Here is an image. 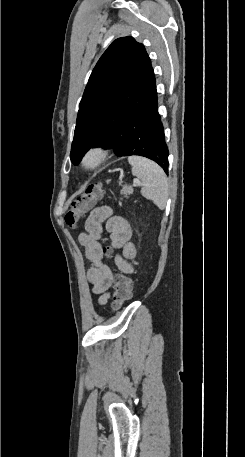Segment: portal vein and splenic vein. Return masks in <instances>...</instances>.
I'll return each mask as SVG.
<instances>
[{
	"mask_svg": "<svg viewBox=\"0 0 245 457\" xmlns=\"http://www.w3.org/2000/svg\"><path fill=\"white\" fill-rule=\"evenodd\" d=\"M133 182L134 184H141L140 180H138V178H133Z\"/></svg>",
	"mask_w": 245,
	"mask_h": 457,
	"instance_id": "obj_1",
	"label": "portal vein and splenic vein"
}]
</instances>
